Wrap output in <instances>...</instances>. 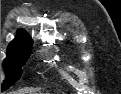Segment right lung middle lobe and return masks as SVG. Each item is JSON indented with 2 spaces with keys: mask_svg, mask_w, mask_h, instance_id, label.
Returning <instances> with one entry per match:
<instances>
[{
  "mask_svg": "<svg viewBox=\"0 0 121 94\" xmlns=\"http://www.w3.org/2000/svg\"><path fill=\"white\" fill-rule=\"evenodd\" d=\"M32 49V40L30 38L21 42L11 44L7 48V57L4 60V69L7 74L2 88H8L21 77L22 66L25 65Z\"/></svg>",
  "mask_w": 121,
  "mask_h": 94,
  "instance_id": "dd1d6c3e",
  "label": "right lung middle lobe"
}]
</instances>
